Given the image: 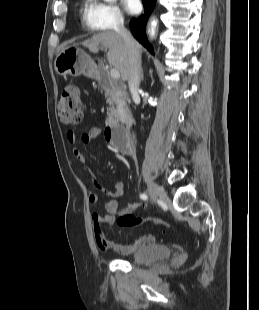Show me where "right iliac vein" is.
<instances>
[{
	"mask_svg": "<svg viewBox=\"0 0 259 310\" xmlns=\"http://www.w3.org/2000/svg\"><path fill=\"white\" fill-rule=\"evenodd\" d=\"M147 186L151 195V198L153 201H155L158 198H161L162 200H166L167 196L166 193L164 192V190L157 185L155 182L149 180L147 182Z\"/></svg>",
	"mask_w": 259,
	"mask_h": 310,
	"instance_id": "1",
	"label": "right iliac vein"
}]
</instances>
